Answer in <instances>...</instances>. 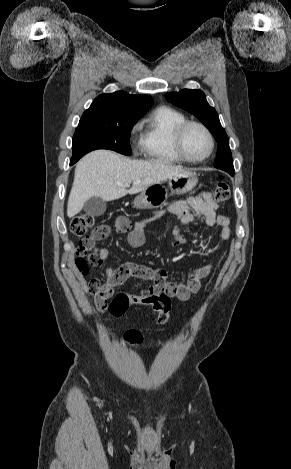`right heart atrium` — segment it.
Instances as JSON below:
<instances>
[{
  "label": "right heart atrium",
  "mask_w": 291,
  "mask_h": 469,
  "mask_svg": "<svg viewBox=\"0 0 291 469\" xmlns=\"http://www.w3.org/2000/svg\"><path fill=\"white\" fill-rule=\"evenodd\" d=\"M136 129H137V126H134L133 131H135Z\"/></svg>",
  "instance_id": "obj_1"
}]
</instances>
